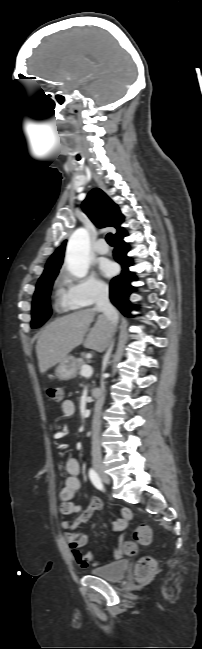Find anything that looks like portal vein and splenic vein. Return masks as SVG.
Instances as JSON below:
<instances>
[{"mask_svg": "<svg viewBox=\"0 0 202 649\" xmlns=\"http://www.w3.org/2000/svg\"><path fill=\"white\" fill-rule=\"evenodd\" d=\"M80 373L82 376L88 378L93 374V369L89 365H84L82 366Z\"/></svg>", "mask_w": 202, "mask_h": 649, "instance_id": "18ae733b", "label": "portal vein and splenic vein"}]
</instances>
